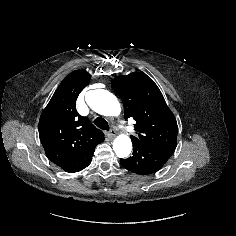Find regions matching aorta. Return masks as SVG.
I'll use <instances>...</instances> for the list:
<instances>
[{
	"mask_svg": "<svg viewBox=\"0 0 236 236\" xmlns=\"http://www.w3.org/2000/svg\"><path fill=\"white\" fill-rule=\"evenodd\" d=\"M86 102L95 112L104 116H118L121 112L116 96L107 90L88 91ZM113 150L119 158L129 156L132 150L131 139L127 135H119L113 141Z\"/></svg>",
	"mask_w": 236,
	"mask_h": 236,
	"instance_id": "obj_1",
	"label": "aorta"
}]
</instances>
